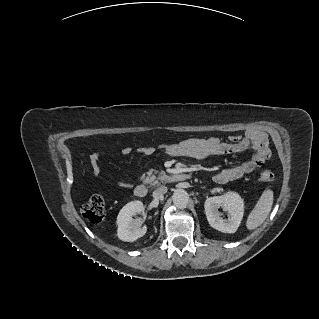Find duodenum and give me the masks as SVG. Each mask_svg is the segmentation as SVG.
<instances>
[{"label": "duodenum", "instance_id": "1", "mask_svg": "<svg viewBox=\"0 0 319 319\" xmlns=\"http://www.w3.org/2000/svg\"><path fill=\"white\" fill-rule=\"evenodd\" d=\"M189 178V174L183 172H176L168 175V181L180 182ZM134 194L138 198H145L148 194V187L145 183H139L134 188Z\"/></svg>", "mask_w": 319, "mask_h": 319}]
</instances>
